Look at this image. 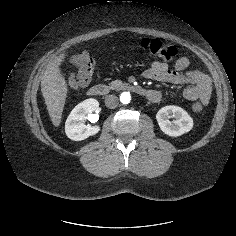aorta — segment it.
I'll list each match as a JSON object with an SVG mask.
<instances>
[{"instance_id":"762f6f07","label":"aorta","mask_w":236,"mask_h":236,"mask_svg":"<svg viewBox=\"0 0 236 236\" xmlns=\"http://www.w3.org/2000/svg\"><path fill=\"white\" fill-rule=\"evenodd\" d=\"M130 100H131V95H130L129 92H123V93H121V95H120V101H121V103H123V104H128V103H130Z\"/></svg>"}]
</instances>
